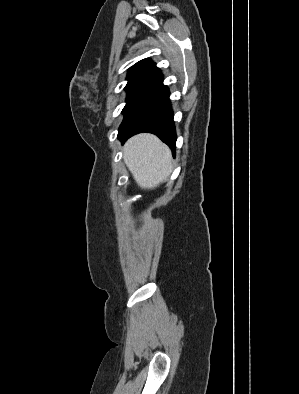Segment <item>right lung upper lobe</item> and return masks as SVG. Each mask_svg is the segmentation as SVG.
<instances>
[{"label": "right lung upper lobe", "instance_id": "right-lung-upper-lobe-1", "mask_svg": "<svg viewBox=\"0 0 299 394\" xmlns=\"http://www.w3.org/2000/svg\"><path fill=\"white\" fill-rule=\"evenodd\" d=\"M127 80L126 87L150 89L162 82L163 76L154 62L150 59H143L128 70Z\"/></svg>", "mask_w": 299, "mask_h": 394}]
</instances>
